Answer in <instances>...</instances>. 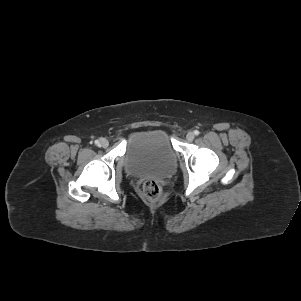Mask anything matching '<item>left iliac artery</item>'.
<instances>
[{"mask_svg": "<svg viewBox=\"0 0 301 301\" xmlns=\"http://www.w3.org/2000/svg\"><path fill=\"white\" fill-rule=\"evenodd\" d=\"M199 133H200V132H199L198 130H195V131H194V135H196V136H198Z\"/></svg>", "mask_w": 301, "mask_h": 301, "instance_id": "obj_1", "label": "left iliac artery"}]
</instances>
